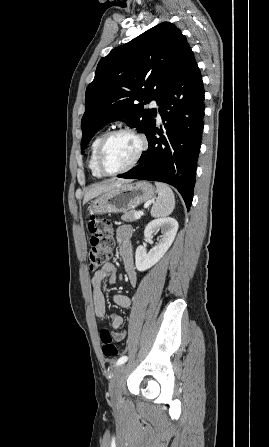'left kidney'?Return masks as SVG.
Returning <instances> with one entry per match:
<instances>
[{"instance_id":"5707ae66","label":"left kidney","mask_w":269,"mask_h":447,"mask_svg":"<svg viewBox=\"0 0 269 447\" xmlns=\"http://www.w3.org/2000/svg\"><path fill=\"white\" fill-rule=\"evenodd\" d=\"M158 229H161L162 235L157 237L158 243L146 251L144 245H138L135 253V263L138 271H145L152 267L154 263H157L167 249H169L171 243L174 241V237L177 233L178 222L174 218H160V220H152L146 225L144 229V237H153V233H156Z\"/></svg>"}]
</instances>
